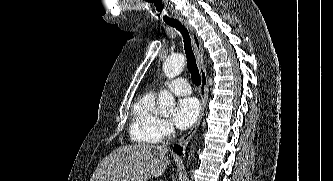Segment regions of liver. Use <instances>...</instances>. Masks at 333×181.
<instances>
[{
    "label": "liver",
    "mask_w": 333,
    "mask_h": 181,
    "mask_svg": "<svg viewBox=\"0 0 333 181\" xmlns=\"http://www.w3.org/2000/svg\"><path fill=\"white\" fill-rule=\"evenodd\" d=\"M165 146H121L104 158L90 181H148L162 176L170 164Z\"/></svg>",
    "instance_id": "6515ba94"
}]
</instances>
